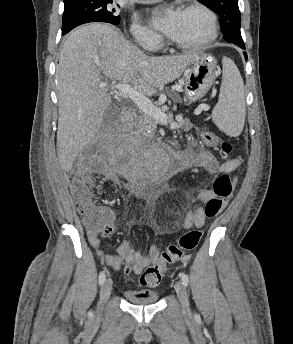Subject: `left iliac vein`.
Here are the masks:
<instances>
[{"mask_svg":"<svg viewBox=\"0 0 293 344\" xmlns=\"http://www.w3.org/2000/svg\"><path fill=\"white\" fill-rule=\"evenodd\" d=\"M175 290L180 301L182 311L185 315H189L190 307L185 285L181 281H177L175 284Z\"/></svg>","mask_w":293,"mask_h":344,"instance_id":"obj_1","label":"left iliac vein"}]
</instances>
